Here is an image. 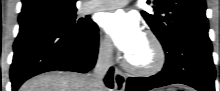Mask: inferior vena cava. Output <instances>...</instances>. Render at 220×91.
Masks as SVG:
<instances>
[{
	"mask_svg": "<svg viewBox=\"0 0 220 91\" xmlns=\"http://www.w3.org/2000/svg\"><path fill=\"white\" fill-rule=\"evenodd\" d=\"M112 49V43L110 42L100 48L96 65L92 72L88 74L92 81V87L96 88L93 89L94 91H103L105 88L103 77L109 70L112 63Z\"/></svg>",
	"mask_w": 220,
	"mask_h": 91,
	"instance_id": "1",
	"label": "inferior vena cava"
}]
</instances>
